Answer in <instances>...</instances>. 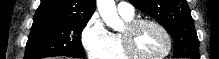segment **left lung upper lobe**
Listing matches in <instances>:
<instances>
[{"instance_id":"1","label":"left lung upper lobe","mask_w":219,"mask_h":59,"mask_svg":"<svg viewBox=\"0 0 219 59\" xmlns=\"http://www.w3.org/2000/svg\"><path fill=\"white\" fill-rule=\"evenodd\" d=\"M130 2L172 32L175 57L200 58L199 40L186 0H130Z\"/></svg>"}]
</instances>
